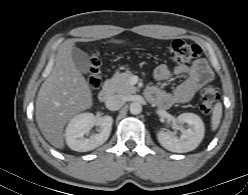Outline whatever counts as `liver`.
<instances>
[{
	"label": "liver",
	"instance_id": "1",
	"mask_svg": "<svg viewBox=\"0 0 248 195\" xmlns=\"http://www.w3.org/2000/svg\"><path fill=\"white\" fill-rule=\"evenodd\" d=\"M109 42L124 41L111 39ZM73 48V39L60 46L55 65L41 85L36 100L38 127L46 140L58 149L64 148L63 129L67 122L92 105L89 85L73 61Z\"/></svg>",
	"mask_w": 248,
	"mask_h": 195
}]
</instances>
